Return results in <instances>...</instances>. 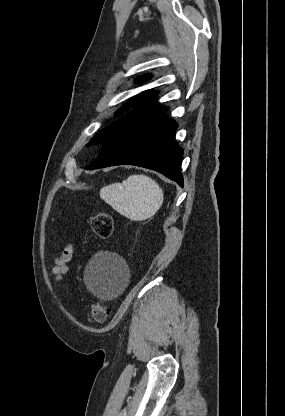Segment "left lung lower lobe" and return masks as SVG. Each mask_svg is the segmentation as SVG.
Wrapping results in <instances>:
<instances>
[{"mask_svg":"<svg viewBox=\"0 0 285 416\" xmlns=\"http://www.w3.org/2000/svg\"><path fill=\"white\" fill-rule=\"evenodd\" d=\"M177 124L162 109L142 116L107 139L87 170L114 165H137L156 170L183 186V149L175 141Z\"/></svg>","mask_w":285,"mask_h":416,"instance_id":"0a47b994","label":"left lung lower lobe"}]
</instances>
